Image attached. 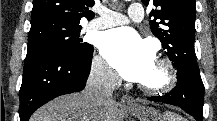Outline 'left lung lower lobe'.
<instances>
[{
  "label": "left lung lower lobe",
  "mask_w": 217,
  "mask_h": 121,
  "mask_svg": "<svg viewBox=\"0 0 217 121\" xmlns=\"http://www.w3.org/2000/svg\"><path fill=\"white\" fill-rule=\"evenodd\" d=\"M177 85L164 96L148 97V100L180 107L196 121H203L204 85L200 72L181 68L177 72Z\"/></svg>",
  "instance_id": "0a47b994"
}]
</instances>
